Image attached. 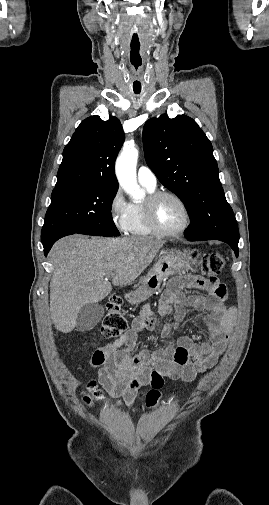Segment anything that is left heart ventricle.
Segmentation results:
<instances>
[{
	"instance_id": "b2bd125f",
	"label": "left heart ventricle",
	"mask_w": 269,
	"mask_h": 505,
	"mask_svg": "<svg viewBox=\"0 0 269 505\" xmlns=\"http://www.w3.org/2000/svg\"><path fill=\"white\" fill-rule=\"evenodd\" d=\"M156 220L167 231L180 229L186 221L183 207L173 198L164 197L156 205Z\"/></svg>"
}]
</instances>
